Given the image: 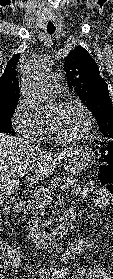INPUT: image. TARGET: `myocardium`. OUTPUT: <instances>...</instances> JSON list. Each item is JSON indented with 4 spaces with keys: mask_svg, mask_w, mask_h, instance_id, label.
I'll return each mask as SVG.
<instances>
[{
    "mask_svg": "<svg viewBox=\"0 0 113 279\" xmlns=\"http://www.w3.org/2000/svg\"><path fill=\"white\" fill-rule=\"evenodd\" d=\"M70 105H75L81 109V111L84 113V115L86 117L87 125H86V129L84 130V132L82 134L75 136V137H67V136L61 135L50 122L46 121V124H47V127H48L50 133L53 135V137L57 141L62 142V143L81 142V141L87 139L91 135L93 128H94L93 116H92L90 110L87 108V106L82 101L75 99V98H68V99L60 101L56 105V107L59 109H63Z\"/></svg>",
    "mask_w": 113,
    "mask_h": 279,
    "instance_id": "f54148a6",
    "label": "myocardium"
}]
</instances>
